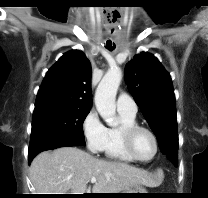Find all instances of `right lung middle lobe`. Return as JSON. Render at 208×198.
Wrapping results in <instances>:
<instances>
[{"label": "right lung middle lobe", "mask_w": 208, "mask_h": 198, "mask_svg": "<svg viewBox=\"0 0 208 198\" xmlns=\"http://www.w3.org/2000/svg\"><path fill=\"white\" fill-rule=\"evenodd\" d=\"M89 112L90 108L74 105L35 108L30 145L54 137H64L85 145L82 126Z\"/></svg>", "instance_id": "right-lung-middle-lobe-1"}]
</instances>
